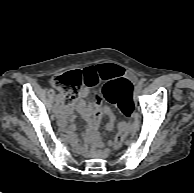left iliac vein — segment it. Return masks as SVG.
<instances>
[{
  "mask_svg": "<svg viewBox=\"0 0 194 193\" xmlns=\"http://www.w3.org/2000/svg\"><path fill=\"white\" fill-rule=\"evenodd\" d=\"M140 87H141V86H140L139 84H137L136 89H137V90H140Z\"/></svg>",
  "mask_w": 194,
  "mask_h": 193,
  "instance_id": "obj_1",
  "label": "left iliac vein"
}]
</instances>
